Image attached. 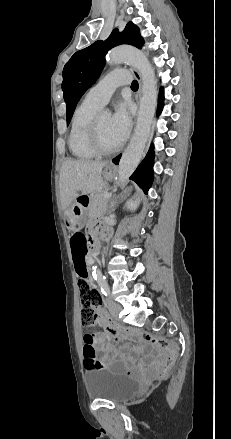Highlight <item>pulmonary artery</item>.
I'll list each match as a JSON object with an SVG mask.
<instances>
[{"instance_id": "pulmonary-artery-1", "label": "pulmonary artery", "mask_w": 231, "mask_h": 439, "mask_svg": "<svg viewBox=\"0 0 231 439\" xmlns=\"http://www.w3.org/2000/svg\"><path fill=\"white\" fill-rule=\"evenodd\" d=\"M130 80L131 74L127 70L112 71L87 92L85 99L103 106L109 101L117 87L128 84Z\"/></svg>"}]
</instances>
